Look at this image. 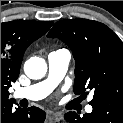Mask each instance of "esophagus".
Masks as SVG:
<instances>
[{"mask_svg":"<svg viewBox=\"0 0 123 123\" xmlns=\"http://www.w3.org/2000/svg\"><path fill=\"white\" fill-rule=\"evenodd\" d=\"M49 118H52L54 121L59 122L63 120V114L59 112L50 113Z\"/></svg>","mask_w":123,"mask_h":123,"instance_id":"esophagus-1","label":"esophagus"}]
</instances>
